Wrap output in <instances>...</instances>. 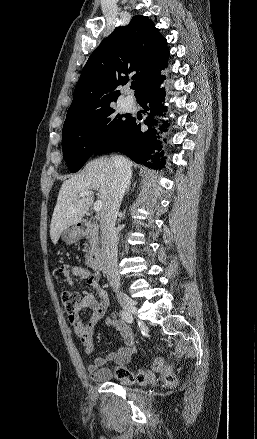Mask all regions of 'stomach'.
<instances>
[{
	"label": "stomach",
	"instance_id": "obj_1",
	"mask_svg": "<svg viewBox=\"0 0 257 439\" xmlns=\"http://www.w3.org/2000/svg\"><path fill=\"white\" fill-rule=\"evenodd\" d=\"M80 238V230L77 226L69 227L61 234V239L67 244L75 243Z\"/></svg>",
	"mask_w": 257,
	"mask_h": 439
}]
</instances>
